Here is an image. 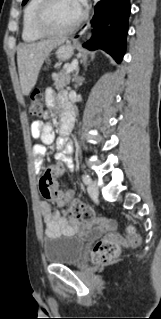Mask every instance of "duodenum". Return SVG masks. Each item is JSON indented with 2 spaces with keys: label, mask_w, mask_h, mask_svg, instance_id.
Returning a JSON list of instances; mask_svg holds the SVG:
<instances>
[{
  "label": "duodenum",
  "mask_w": 161,
  "mask_h": 319,
  "mask_svg": "<svg viewBox=\"0 0 161 319\" xmlns=\"http://www.w3.org/2000/svg\"><path fill=\"white\" fill-rule=\"evenodd\" d=\"M73 128V124L70 118L65 117L62 119L60 130L61 134L67 136Z\"/></svg>",
  "instance_id": "duodenum-1"
}]
</instances>
